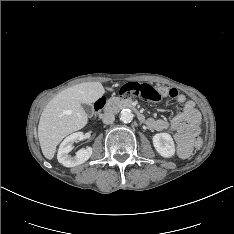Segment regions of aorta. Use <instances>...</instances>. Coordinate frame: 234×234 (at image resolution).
<instances>
[{"label":"aorta","mask_w":234,"mask_h":234,"mask_svg":"<svg viewBox=\"0 0 234 234\" xmlns=\"http://www.w3.org/2000/svg\"><path fill=\"white\" fill-rule=\"evenodd\" d=\"M133 113L130 109H124L121 111L120 120L124 123H129L133 120Z\"/></svg>","instance_id":"1"}]
</instances>
